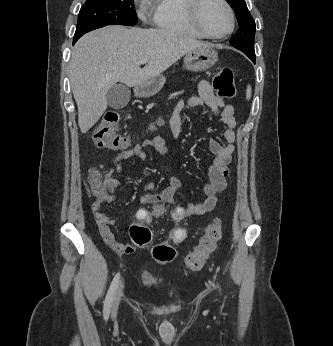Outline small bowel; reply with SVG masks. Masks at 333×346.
I'll list each match as a JSON object with an SVG mask.
<instances>
[{"mask_svg":"<svg viewBox=\"0 0 333 346\" xmlns=\"http://www.w3.org/2000/svg\"><path fill=\"white\" fill-rule=\"evenodd\" d=\"M186 106L209 107L225 124L222 137L227 142V144H222L215 138L209 141V148L214 155V159L209 167V182L203 188L206 198L198 203L187 202L182 209L184 217H191L203 215L214 210L219 200V193L226 187V178L228 176L227 166L235 149L236 121L233 107L226 105L223 100L213 92L208 81L202 80L198 85L197 93L185 100H180L171 115L170 127L175 140H178L180 136L182 126L181 111ZM145 147H152L164 155L169 152L168 144L160 137L144 139L140 144L119 151L112 158L111 169L105 175L108 188L113 189L117 186V181L113 178L112 173L114 169L118 172L122 171V163L124 160L132 157H137L142 161L147 160V154L144 151ZM180 187L181 184L179 180L175 177H171L168 187L158 194L145 193L141 197V203L143 205L173 204L175 201V193ZM153 188V183H146L144 185L146 191H151ZM113 199V195L107 191L104 196L96 197L91 205V210L94 214L99 233L105 243L112 247V254H135L137 247L136 243H133L131 239H128L126 242L125 239H115L112 230L113 221L102 210L103 206L112 202Z\"/></svg>","mask_w":333,"mask_h":346,"instance_id":"obj_1","label":"small bowel"}]
</instances>
